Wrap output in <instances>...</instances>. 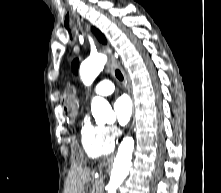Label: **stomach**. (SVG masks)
<instances>
[{"mask_svg": "<svg viewBox=\"0 0 221 193\" xmlns=\"http://www.w3.org/2000/svg\"><path fill=\"white\" fill-rule=\"evenodd\" d=\"M60 107L63 109V115H67V120H74L76 113L79 112V102L76 98H61ZM85 154H74V159L70 160L72 167H83L85 163ZM90 189L84 187L82 193H90Z\"/></svg>", "mask_w": 221, "mask_h": 193, "instance_id": "1", "label": "stomach"}]
</instances>
